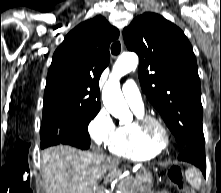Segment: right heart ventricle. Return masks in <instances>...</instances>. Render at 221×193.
<instances>
[{"label":"right heart ventricle","mask_w":221,"mask_h":193,"mask_svg":"<svg viewBox=\"0 0 221 193\" xmlns=\"http://www.w3.org/2000/svg\"><path fill=\"white\" fill-rule=\"evenodd\" d=\"M137 119L133 122L120 124L115 137L109 144L110 153L128 159L154 157L161 153V149L149 142L138 130L136 122L143 111L135 110Z\"/></svg>","instance_id":"e07e8e85"}]
</instances>
